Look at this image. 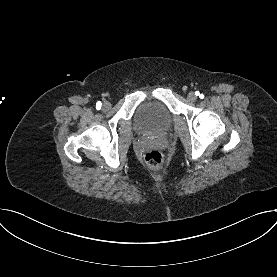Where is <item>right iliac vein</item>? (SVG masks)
<instances>
[{
  "mask_svg": "<svg viewBox=\"0 0 277 277\" xmlns=\"http://www.w3.org/2000/svg\"><path fill=\"white\" fill-rule=\"evenodd\" d=\"M111 108V104L109 102H104L103 105H102V109L104 111H108L109 109Z\"/></svg>",
  "mask_w": 277,
  "mask_h": 277,
  "instance_id": "right-iliac-vein-1",
  "label": "right iliac vein"
}]
</instances>
